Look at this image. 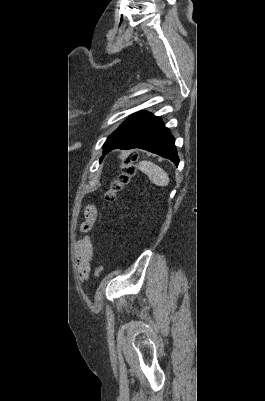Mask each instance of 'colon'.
<instances>
[{
    "label": "colon",
    "instance_id": "5ec220e1",
    "mask_svg": "<svg viewBox=\"0 0 265 401\" xmlns=\"http://www.w3.org/2000/svg\"><path fill=\"white\" fill-rule=\"evenodd\" d=\"M137 170V154L130 152L126 157L121 160L120 172L114 181L111 183L110 188L104 194V200L107 203L114 202L117 194L122 191L131 181ZM103 271L101 266L95 268V274L100 276Z\"/></svg>",
    "mask_w": 265,
    "mask_h": 401
}]
</instances>
